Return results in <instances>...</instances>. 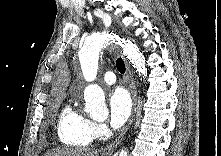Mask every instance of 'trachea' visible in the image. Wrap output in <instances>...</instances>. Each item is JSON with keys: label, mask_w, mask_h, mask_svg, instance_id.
<instances>
[{"label": "trachea", "mask_w": 221, "mask_h": 156, "mask_svg": "<svg viewBox=\"0 0 221 156\" xmlns=\"http://www.w3.org/2000/svg\"><path fill=\"white\" fill-rule=\"evenodd\" d=\"M116 67H117V70L120 72V73H125V64H124V61L122 60V58H117L116 60Z\"/></svg>", "instance_id": "1"}]
</instances>
